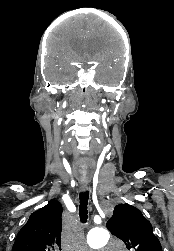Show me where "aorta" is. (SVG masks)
<instances>
[{
	"mask_svg": "<svg viewBox=\"0 0 174 251\" xmlns=\"http://www.w3.org/2000/svg\"><path fill=\"white\" fill-rule=\"evenodd\" d=\"M109 233L102 228H94L87 235V243L93 249H100L109 241Z\"/></svg>",
	"mask_w": 174,
	"mask_h": 251,
	"instance_id": "obj_1",
	"label": "aorta"
}]
</instances>
